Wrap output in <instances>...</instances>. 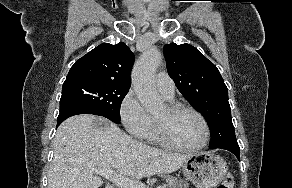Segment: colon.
I'll return each instance as SVG.
<instances>
[{"label": "colon", "mask_w": 292, "mask_h": 188, "mask_svg": "<svg viewBox=\"0 0 292 188\" xmlns=\"http://www.w3.org/2000/svg\"><path fill=\"white\" fill-rule=\"evenodd\" d=\"M234 181L231 173H227L223 181L217 186V188H233Z\"/></svg>", "instance_id": "5ec220e1"}]
</instances>
